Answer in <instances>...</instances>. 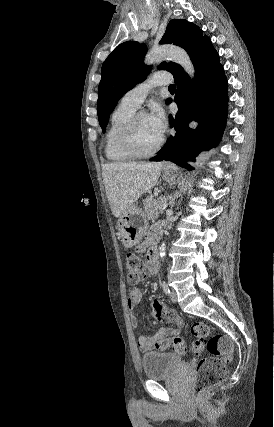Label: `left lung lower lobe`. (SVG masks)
I'll return each instance as SVG.
<instances>
[{
	"instance_id": "1",
	"label": "left lung lower lobe",
	"mask_w": 274,
	"mask_h": 427,
	"mask_svg": "<svg viewBox=\"0 0 274 427\" xmlns=\"http://www.w3.org/2000/svg\"><path fill=\"white\" fill-rule=\"evenodd\" d=\"M190 58L195 67V84L183 69L174 75L178 84L174 102L179 109L175 118L170 117V125L176 134L150 161L170 160L189 167L186 160L194 161L201 150L212 148L221 138L227 118V80L209 38L195 47ZM171 102L166 100L167 104ZM193 119L198 122L196 129L188 127Z\"/></svg>"
}]
</instances>
